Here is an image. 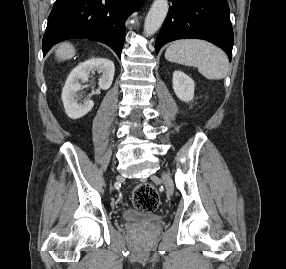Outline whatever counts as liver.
Listing matches in <instances>:
<instances>
[{
  "label": "liver",
  "mask_w": 286,
  "mask_h": 269,
  "mask_svg": "<svg viewBox=\"0 0 286 269\" xmlns=\"http://www.w3.org/2000/svg\"><path fill=\"white\" fill-rule=\"evenodd\" d=\"M55 54L60 60L71 59L74 55V47L70 43H62L57 48Z\"/></svg>",
  "instance_id": "1"
}]
</instances>
